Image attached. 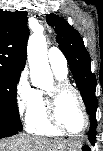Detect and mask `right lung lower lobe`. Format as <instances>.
I'll return each mask as SVG.
<instances>
[{"label": "right lung lower lobe", "mask_w": 103, "mask_h": 151, "mask_svg": "<svg viewBox=\"0 0 103 151\" xmlns=\"http://www.w3.org/2000/svg\"><path fill=\"white\" fill-rule=\"evenodd\" d=\"M18 131H13V130H10V129H0V138H4V137H8V136H12V135H15L17 134Z\"/></svg>", "instance_id": "98d812e1"}]
</instances>
